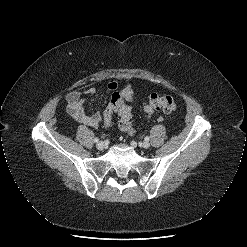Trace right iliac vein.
Segmentation results:
<instances>
[{
    "mask_svg": "<svg viewBox=\"0 0 247 247\" xmlns=\"http://www.w3.org/2000/svg\"><path fill=\"white\" fill-rule=\"evenodd\" d=\"M98 150H103L106 147V143L104 141H100L96 145Z\"/></svg>",
    "mask_w": 247,
    "mask_h": 247,
    "instance_id": "1",
    "label": "right iliac vein"
}]
</instances>
